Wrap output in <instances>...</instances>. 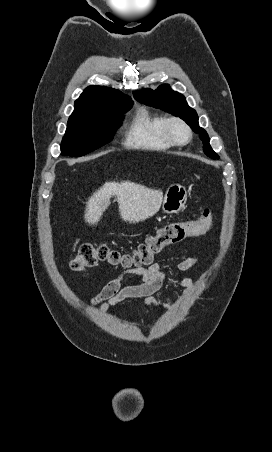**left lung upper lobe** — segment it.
I'll use <instances>...</instances> for the list:
<instances>
[{
    "label": "left lung upper lobe",
    "mask_w": 272,
    "mask_h": 452,
    "mask_svg": "<svg viewBox=\"0 0 272 452\" xmlns=\"http://www.w3.org/2000/svg\"><path fill=\"white\" fill-rule=\"evenodd\" d=\"M133 95L141 103L160 108L183 119L194 132L200 135L204 144V153L212 159L219 158L209 144L207 132L198 124V115L196 111L188 106L186 99L182 94L171 90L169 85L164 84L159 86L156 90L143 89L141 91H135Z\"/></svg>",
    "instance_id": "left-lung-upper-lobe-1"
}]
</instances>
